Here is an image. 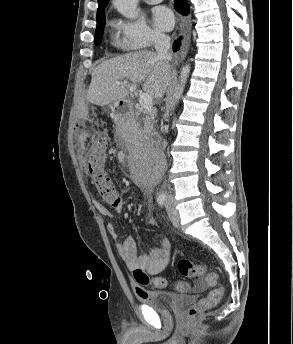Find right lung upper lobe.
<instances>
[{"label": "right lung upper lobe", "mask_w": 293, "mask_h": 344, "mask_svg": "<svg viewBox=\"0 0 293 344\" xmlns=\"http://www.w3.org/2000/svg\"><path fill=\"white\" fill-rule=\"evenodd\" d=\"M109 0H98V12H97V17L98 15L104 11V8L108 4Z\"/></svg>", "instance_id": "obj_1"}]
</instances>
